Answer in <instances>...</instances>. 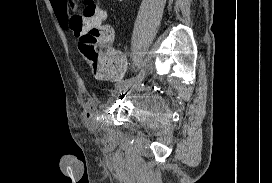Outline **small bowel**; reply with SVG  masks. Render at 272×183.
Instances as JSON below:
<instances>
[{"instance_id": "small-bowel-1", "label": "small bowel", "mask_w": 272, "mask_h": 183, "mask_svg": "<svg viewBox=\"0 0 272 183\" xmlns=\"http://www.w3.org/2000/svg\"><path fill=\"white\" fill-rule=\"evenodd\" d=\"M50 2H51V5L53 7L56 17L58 18V20L60 21L62 26L67 27L66 26V19H67L68 0H50ZM108 28L111 30V32L114 35V29L109 25H108ZM115 52L119 56L116 66L112 70L105 73L104 75H97L98 78L108 80V81H115L124 75V73L126 71V59L118 51L115 50ZM86 117L87 118L89 117V113L84 114L83 118H86Z\"/></svg>"}]
</instances>
